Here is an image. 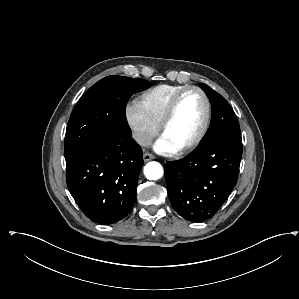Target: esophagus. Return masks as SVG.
Returning a JSON list of instances; mask_svg holds the SVG:
<instances>
[{
	"label": "esophagus",
	"mask_w": 299,
	"mask_h": 299,
	"mask_svg": "<svg viewBox=\"0 0 299 299\" xmlns=\"http://www.w3.org/2000/svg\"><path fill=\"white\" fill-rule=\"evenodd\" d=\"M154 158H155L154 155H152L148 152L144 153V155H143V159H144L145 162H148V161H150Z\"/></svg>",
	"instance_id": "34e87169"
}]
</instances>
